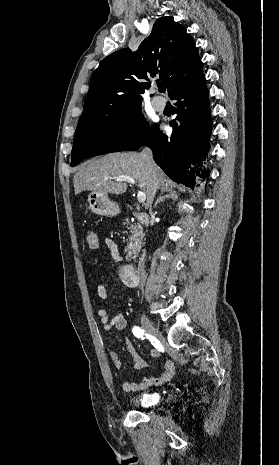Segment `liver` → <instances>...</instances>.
<instances>
[{"label":"liver","mask_w":279,"mask_h":465,"mask_svg":"<svg viewBox=\"0 0 279 465\" xmlns=\"http://www.w3.org/2000/svg\"><path fill=\"white\" fill-rule=\"evenodd\" d=\"M158 188L167 191V179L163 171L155 164ZM119 176H129L138 182L142 192L147 196L145 207L150 206L151 172L146 166L141 153H111L84 163L74 175L75 194L92 191L107 195L123 194L127 190L126 181H116Z\"/></svg>","instance_id":"liver-1"}]
</instances>
